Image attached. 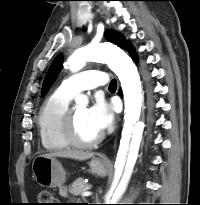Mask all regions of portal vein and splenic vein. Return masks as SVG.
<instances>
[{
  "mask_svg": "<svg viewBox=\"0 0 200 205\" xmlns=\"http://www.w3.org/2000/svg\"><path fill=\"white\" fill-rule=\"evenodd\" d=\"M91 195H92V192H90V191H85V192L82 193L83 197H88V196H91Z\"/></svg>",
  "mask_w": 200,
  "mask_h": 205,
  "instance_id": "18ae733b",
  "label": "portal vein and splenic vein"
}]
</instances>
